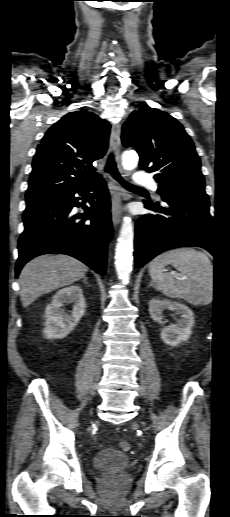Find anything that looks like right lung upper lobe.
<instances>
[{
    "label": "right lung upper lobe",
    "instance_id": "right-lung-upper-lobe-1",
    "mask_svg": "<svg viewBox=\"0 0 230 517\" xmlns=\"http://www.w3.org/2000/svg\"><path fill=\"white\" fill-rule=\"evenodd\" d=\"M110 125L88 111L70 112L46 132L34 155L26 199L72 190L99 175L92 162L108 147Z\"/></svg>",
    "mask_w": 230,
    "mask_h": 517
}]
</instances>
